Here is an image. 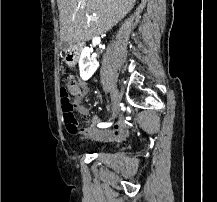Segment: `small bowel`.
<instances>
[{
	"label": "small bowel",
	"mask_w": 217,
	"mask_h": 202,
	"mask_svg": "<svg viewBox=\"0 0 217 202\" xmlns=\"http://www.w3.org/2000/svg\"><path fill=\"white\" fill-rule=\"evenodd\" d=\"M68 88H74V95L76 96L78 114L82 117L89 115L90 109L87 106L80 104L82 99L87 95L89 91L88 86H86L85 84H73L72 82L68 83ZM93 121H98V117L94 116ZM84 133L89 138L105 141H121L129 137L130 135L129 131L125 128L123 121H119L118 123H116L113 130L109 132L93 131L91 133L90 130L85 129ZM78 136H83V131H78Z\"/></svg>",
	"instance_id": "1"
}]
</instances>
